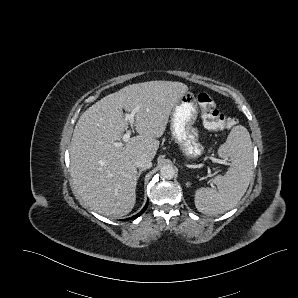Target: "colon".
Wrapping results in <instances>:
<instances>
[{
    "instance_id": "5ec220e1",
    "label": "colon",
    "mask_w": 298,
    "mask_h": 298,
    "mask_svg": "<svg viewBox=\"0 0 298 298\" xmlns=\"http://www.w3.org/2000/svg\"><path fill=\"white\" fill-rule=\"evenodd\" d=\"M197 102L200 107L203 124L208 130L219 131L235 126L236 120L219 111L213 98L208 93H199Z\"/></svg>"
}]
</instances>
